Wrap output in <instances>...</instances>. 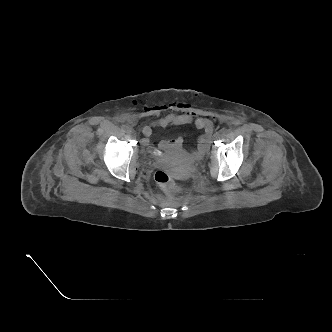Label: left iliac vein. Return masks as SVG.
Instances as JSON below:
<instances>
[{"mask_svg":"<svg viewBox=\"0 0 332 332\" xmlns=\"http://www.w3.org/2000/svg\"><path fill=\"white\" fill-rule=\"evenodd\" d=\"M221 137V133L220 132H217L215 135H214V138L215 139H219Z\"/></svg>","mask_w":332,"mask_h":332,"instance_id":"left-iliac-vein-1","label":"left iliac vein"}]
</instances>
